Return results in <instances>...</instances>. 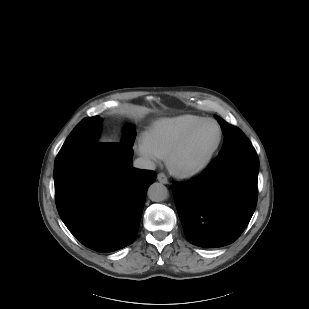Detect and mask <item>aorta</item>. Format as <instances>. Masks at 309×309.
Wrapping results in <instances>:
<instances>
[{"instance_id":"1","label":"aorta","mask_w":309,"mask_h":309,"mask_svg":"<svg viewBox=\"0 0 309 309\" xmlns=\"http://www.w3.org/2000/svg\"><path fill=\"white\" fill-rule=\"evenodd\" d=\"M168 196V189L162 183L155 182L148 188V197L151 201L161 202L166 200Z\"/></svg>"}]
</instances>
